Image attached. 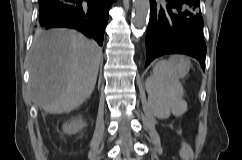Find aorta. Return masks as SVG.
Here are the masks:
<instances>
[{
  "mask_svg": "<svg viewBox=\"0 0 242 160\" xmlns=\"http://www.w3.org/2000/svg\"><path fill=\"white\" fill-rule=\"evenodd\" d=\"M134 11L132 15V23L134 28L138 30L145 29L149 21L150 0H133Z\"/></svg>",
  "mask_w": 242,
  "mask_h": 160,
  "instance_id": "762f6f07",
  "label": "aorta"
}]
</instances>
